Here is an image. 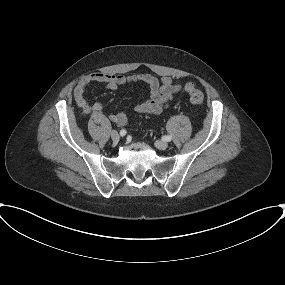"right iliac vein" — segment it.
<instances>
[{
  "label": "right iliac vein",
  "mask_w": 285,
  "mask_h": 285,
  "mask_svg": "<svg viewBox=\"0 0 285 285\" xmlns=\"http://www.w3.org/2000/svg\"><path fill=\"white\" fill-rule=\"evenodd\" d=\"M110 136L114 142H118L120 140V135L118 134L116 130H112L110 132Z\"/></svg>",
  "instance_id": "right-iliac-vein-1"
}]
</instances>
